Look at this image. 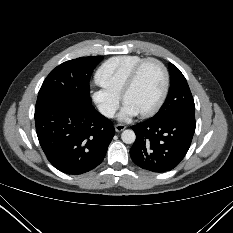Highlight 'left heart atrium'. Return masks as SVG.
<instances>
[{
  "label": "left heart atrium",
  "instance_id": "39dd6f15",
  "mask_svg": "<svg viewBox=\"0 0 233 233\" xmlns=\"http://www.w3.org/2000/svg\"><path fill=\"white\" fill-rule=\"evenodd\" d=\"M138 114H139V112L136 109H134L129 104L124 103V106H123L122 111L120 113V119L121 120H128V119H130Z\"/></svg>",
  "mask_w": 233,
  "mask_h": 233
}]
</instances>
